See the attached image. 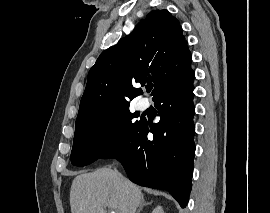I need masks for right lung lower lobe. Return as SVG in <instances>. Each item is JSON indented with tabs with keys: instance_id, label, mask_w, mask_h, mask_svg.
<instances>
[{
	"instance_id": "1",
	"label": "right lung lower lobe",
	"mask_w": 270,
	"mask_h": 213,
	"mask_svg": "<svg viewBox=\"0 0 270 213\" xmlns=\"http://www.w3.org/2000/svg\"><path fill=\"white\" fill-rule=\"evenodd\" d=\"M190 68L154 98L160 121L138 127L103 158L119 160L138 185L167 190L182 207L191 191L195 144L193 79ZM148 132L153 139H148Z\"/></svg>"
}]
</instances>
